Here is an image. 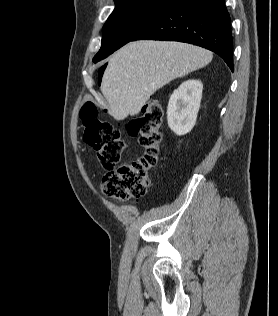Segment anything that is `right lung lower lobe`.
<instances>
[{
  "mask_svg": "<svg viewBox=\"0 0 278 316\" xmlns=\"http://www.w3.org/2000/svg\"><path fill=\"white\" fill-rule=\"evenodd\" d=\"M170 40L207 48L233 71L231 19L224 0H168L131 41Z\"/></svg>",
  "mask_w": 278,
  "mask_h": 316,
  "instance_id": "obj_1",
  "label": "right lung lower lobe"
}]
</instances>
